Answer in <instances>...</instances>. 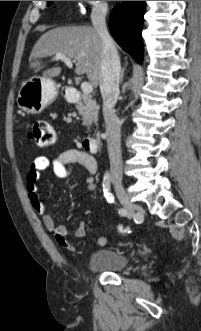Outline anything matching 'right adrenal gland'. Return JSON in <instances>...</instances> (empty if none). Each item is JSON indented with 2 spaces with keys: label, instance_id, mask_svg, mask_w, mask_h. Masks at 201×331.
Instances as JSON below:
<instances>
[{
  "label": "right adrenal gland",
  "instance_id": "obj_1",
  "mask_svg": "<svg viewBox=\"0 0 201 331\" xmlns=\"http://www.w3.org/2000/svg\"><path fill=\"white\" fill-rule=\"evenodd\" d=\"M123 76H124V69L122 70L121 76H120L121 82L123 81Z\"/></svg>",
  "mask_w": 201,
  "mask_h": 331
}]
</instances>
